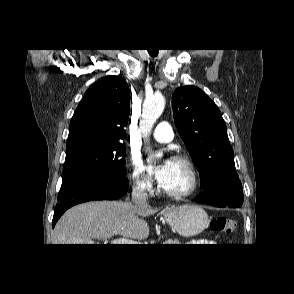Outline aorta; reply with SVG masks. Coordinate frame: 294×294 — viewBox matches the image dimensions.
Segmentation results:
<instances>
[{"label": "aorta", "instance_id": "obj_1", "mask_svg": "<svg viewBox=\"0 0 294 294\" xmlns=\"http://www.w3.org/2000/svg\"><path fill=\"white\" fill-rule=\"evenodd\" d=\"M165 107V98L161 94L153 95L146 98L143 103L142 119L140 121L139 130L145 138L149 136L154 123L162 114ZM162 152L151 154V158H161Z\"/></svg>", "mask_w": 294, "mask_h": 294}]
</instances>
